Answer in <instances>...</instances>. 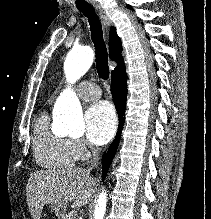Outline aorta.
Segmentation results:
<instances>
[{
    "mask_svg": "<svg viewBox=\"0 0 211 219\" xmlns=\"http://www.w3.org/2000/svg\"><path fill=\"white\" fill-rule=\"evenodd\" d=\"M93 62V51L88 46L72 48L64 62L68 82L73 83L83 76ZM55 119L63 125V131L71 137H81L85 131L82 108L75 93L67 89L58 98L54 107ZM107 194L102 191L94 210L93 219H104Z\"/></svg>",
    "mask_w": 211,
    "mask_h": 219,
    "instance_id": "aorta-1",
    "label": "aorta"
}]
</instances>
